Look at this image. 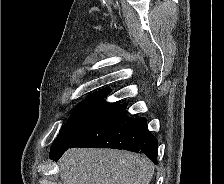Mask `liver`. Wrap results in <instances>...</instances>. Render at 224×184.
Wrapping results in <instances>:
<instances>
[{"mask_svg": "<svg viewBox=\"0 0 224 184\" xmlns=\"http://www.w3.org/2000/svg\"><path fill=\"white\" fill-rule=\"evenodd\" d=\"M62 184H149L154 165L123 150L75 148L60 160Z\"/></svg>", "mask_w": 224, "mask_h": 184, "instance_id": "1", "label": "liver"}]
</instances>
